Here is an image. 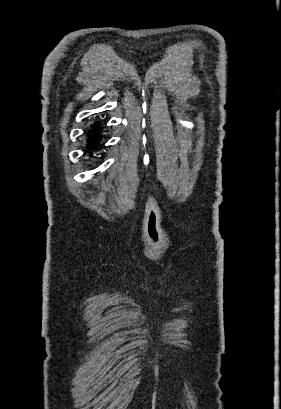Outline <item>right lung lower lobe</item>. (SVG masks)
<instances>
[{
    "instance_id": "1",
    "label": "right lung lower lobe",
    "mask_w": 281,
    "mask_h": 409,
    "mask_svg": "<svg viewBox=\"0 0 281 409\" xmlns=\"http://www.w3.org/2000/svg\"><path fill=\"white\" fill-rule=\"evenodd\" d=\"M100 124L96 121L90 125L89 129L86 132V140L90 150L96 149L99 145V140H101L100 134Z\"/></svg>"
}]
</instances>
